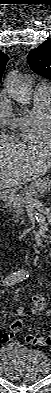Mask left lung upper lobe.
Wrapping results in <instances>:
<instances>
[{
  "label": "left lung upper lobe",
  "mask_w": 51,
  "mask_h": 393,
  "mask_svg": "<svg viewBox=\"0 0 51 393\" xmlns=\"http://www.w3.org/2000/svg\"><path fill=\"white\" fill-rule=\"evenodd\" d=\"M28 62L35 73L51 80V39L31 50Z\"/></svg>",
  "instance_id": "1"
}]
</instances>
